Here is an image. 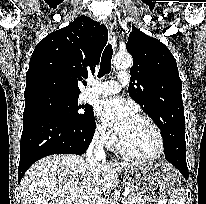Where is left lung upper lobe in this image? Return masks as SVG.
I'll list each match as a JSON object with an SVG mask.
<instances>
[{
	"label": "left lung upper lobe",
	"mask_w": 206,
	"mask_h": 204,
	"mask_svg": "<svg viewBox=\"0 0 206 204\" xmlns=\"http://www.w3.org/2000/svg\"><path fill=\"white\" fill-rule=\"evenodd\" d=\"M133 57L129 94L160 128L163 139L185 134L182 82L175 58L159 40L132 26L126 45Z\"/></svg>",
	"instance_id": "left-lung-upper-lobe-1"
}]
</instances>
